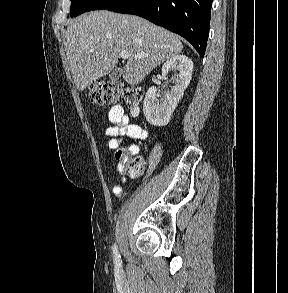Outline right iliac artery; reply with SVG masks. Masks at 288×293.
Listing matches in <instances>:
<instances>
[{"mask_svg":"<svg viewBox=\"0 0 288 293\" xmlns=\"http://www.w3.org/2000/svg\"><path fill=\"white\" fill-rule=\"evenodd\" d=\"M113 253H114V262L116 265H119L120 264V254L118 252L116 244H114V246H113Z\"/></svg>","mask_w":288,"mask_h":293,"instance_id":"right-iliac-artery-1","label":"right iliac artery"}]
</instances>
